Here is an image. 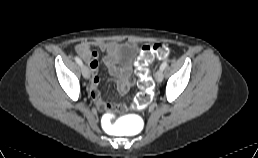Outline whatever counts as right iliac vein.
Segmentation results:
<instances>
[{
    "label": "right iliac vein",
    "mask_w": 258,
    "mask_h": 158,
    "mask_svg": "<svg viewBox=\"0 0 258 158\" xmlns=\"http://www.w3.org/2000/svg\"><path fill=\"white\" fill-rule=\"evenodd\" d=\"M82 75L85 79L90 78V71H89V68L86 65L82 66Z\"/></svg>",
    "instance_id": "63e3f726"
}]
</instances>
